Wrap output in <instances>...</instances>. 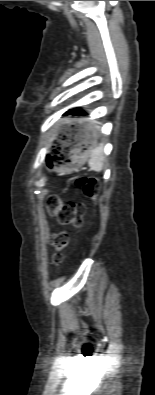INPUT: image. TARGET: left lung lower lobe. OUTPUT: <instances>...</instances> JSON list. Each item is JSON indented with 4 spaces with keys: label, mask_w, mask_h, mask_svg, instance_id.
Wrapping results in <instances>:
<instances>
[{
    "label": "left lung lower lobe",
    "mask_w": 155,
    "mask_h": 395,
    "mask_svg": "<svg viewBox=\"0 0 155 395\" xmlns=\"http://www.w3.org/2000/svg\"><path fill=\"white\" fill-rule=\"evenodd\" d=\"M85 114H86V113L82 111L81 115H85ZM90 133H92L91 130H90Z\"/></svg>",
    "instance_id": "1"
}]
</instances>
